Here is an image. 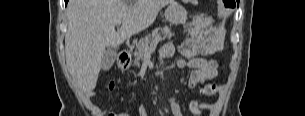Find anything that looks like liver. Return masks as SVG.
Returning <instances> with one entry per match:
<instances>
[{
  "instance_id": "6515ba94",
  "label": "liver",
  "mask_w": 305,
  "mask_h": 116,
  "mask_svg": "<svg viewBox=\"0 0 305 116\" xmlns=\"http://www.w3.org/2000/svg\"><path fill=\"white\" fill-rule=\"evenodd\" d=\"M173 0H70L65 35L70 75L86 92L95 89L102 56L132 35L147 29ZM118 21L122 26L115 31Z\"/></svg>"
}]
</instances>
